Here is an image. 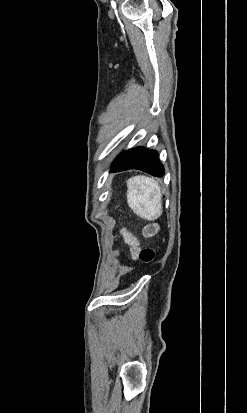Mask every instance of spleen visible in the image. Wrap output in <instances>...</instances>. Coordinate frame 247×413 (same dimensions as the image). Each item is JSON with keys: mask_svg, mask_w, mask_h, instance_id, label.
I'll use <instances>...</instances> for the list:
<instances>
[{"mask_svg": "<svg viewBox=\"0 0 247 413\" xmlns=\"http://www.w3.org/2000/svg\"><path fill=\"white\" fill-rule=\"evenodd\" d=\"M127 202L130 209L139 217H160L161 215V188L153 178L138 174L127 180Z\"/></svg>", "mask_w": 247, "mask_h": 413, "instance_id": "spleen-1", "label": "spleen"}]
</instances>
